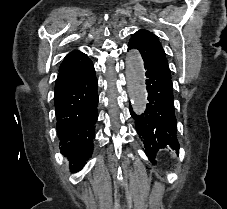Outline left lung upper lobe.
Instances as JSON below:
<instances>
[{"label":"left lung upper lobe","instance_id":"1","mask_svg":"<svg viewBox=\"0 0 227 209\" xmlns=\"http://www.w3.org/2000/svg\"><path fill=\"white\" fill-rule=\"evenodd\" d=\"M129 47L138 49L144 64L151 65L171 78L167 58L158 38L147 30L134 33L129 41Z\"/></svg>","mask_w":227,"mask_h":209}]
</instances>
